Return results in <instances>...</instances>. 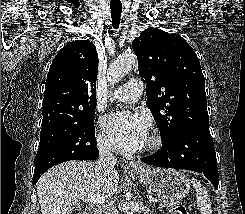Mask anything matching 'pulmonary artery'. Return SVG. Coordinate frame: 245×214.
<instances>
[{
  "label": "pulmonary artery",
  "instance_id": "obj_1",
  "mask_svg": "<svg viewBox=\"0 0 245 214\" xmlns=\"http://www.w3.org/2000/svg\"><path fill=\"white\" fill-rule=\"evenodd\" d=\"M143 90V81L131 79L115 91L114 98L120 102L133 103L141 97Z\"/></svg>",
  "mask_w": 245,
  "mask_h": 214
}]
</instances>
